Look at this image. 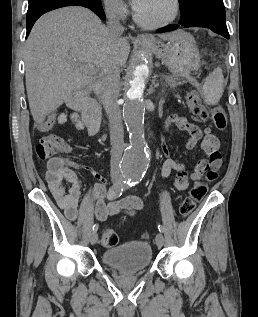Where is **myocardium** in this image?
I'll list each match as a JSON object with an SVG mask.
<instances>
[{"label": "myocardium", "mask_w": 258, "mask_h": 317, "mask_svg": "<svg viewBox=\"0 0 258 317\" xmlns=\"http://www.w3.org/2000/svg\"><path fill=\"white\" fill-rule=\"evenodd\" d=\"M154 1L155 0H142L134 9V20H135V22L139 26H141L142 28H144L146 30H149V31H159V30H162V29L166 28L167 26H169L176 19L177 15H178V11H179V4H178L177 0H167L170 3H172V5H173L172 15L168 19H166L165 21H163L161 24H159L157 26H154V27L145 26L142 23L141 19H140L139 10L143 6H145L146 4L152 3Z\"/></svg>", "instance_id": "myocardium-1"}]
</instances>
